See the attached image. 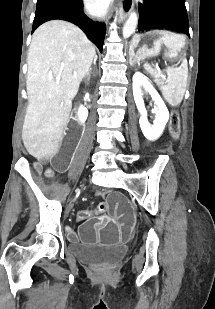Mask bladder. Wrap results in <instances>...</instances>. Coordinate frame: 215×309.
I'll return each mask as SVG.
<instances>
[{"label": "bladder", "mask_w": 215, "mask_h": 309, "mask_svg": "<svg viewBox=\"0 0 215 309\" xmlns=\"http://www.w3.org/2000/svg\"><path fill=\"white\" fill-rule=\"evenodd\" d=\"M69 251L82 263L89 265H110L120 261L126 250L119 246H96L73 243Z\"/></svg>", "instance_id": "1"}]
</instances>
